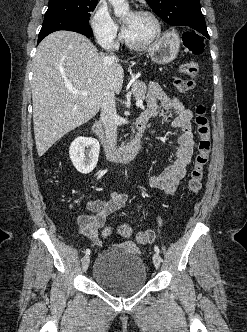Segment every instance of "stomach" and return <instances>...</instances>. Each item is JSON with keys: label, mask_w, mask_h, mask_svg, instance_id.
Instances as JSON below:
<instances>
[{"label": "stomach", "mask_w": 247, "mask_h": 332, "mask_svg": "<svg viewBox=\"0 0 247 332\" xmlns=\"http://www.w3.org/2000/svg\"><path fill=\"white\" fill-rule=\"evenodd\" d=\"M180 39L179 35L172 31L155 42L149 50L150 57L157 64H166L173 61L179 52Z\"/></svg>", "instance_id": "stomach-1"}]
</instances>
